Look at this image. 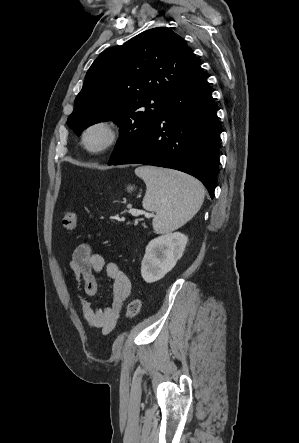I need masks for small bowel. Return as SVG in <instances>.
I'll return each instance as SVG.
<instances>
[{"label": "small bowel", "instance_id": "c3829d8e", "mask_svg": "<svg viewBox=\"0 0 299 443\" xmlns=\"http://www.w3.org/2000/svg\"><path fill=\"white\" fill-rule=\"evenodd\" d=\"M72 279L81 292L80 303L84 318L91 327L99 328L103 335L110 334L117 323L124 302L131 294L132 284L115 262H106L104 256L95 252L87 243L77 245L69 260ZM105 272L112 282V300L105 308L94 309L89 297L96 295V276Z\"/></svg>", "mask_w": 299, "mask_h": 443}]
</instances>
